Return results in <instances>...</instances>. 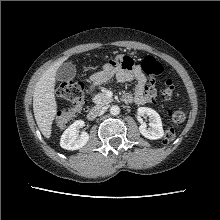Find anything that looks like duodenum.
<instances>
[{"instance_id": "1", "label": "duodenum", "mask_w": 220, "mask_h": 220, "mask_svg": "<svg viewBox=\"0 0 220 220\" xmlns=\"http://www.w3.org/2000/svg\"><path fill=\"white\" fill-rule=\"evenodd\" d=\"M98 116V109L96 107L91 108L87 113L88 120H95Z\"/></svg>"}]
</instances>
